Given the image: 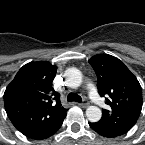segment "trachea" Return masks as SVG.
<instances>
[{
  "label": "trachea",
  "instance_id": "trachea-1",
  "mask_svg": "<svg viewBox=\"0 0 145 145\" xmlns=\"http://www.w3.org/2000/svg\"><path fill=\"white\" fill-rule=\"evenodd\" d=\"M67 101L68 102H72V101L82 102V98L78 94L69 93L68 96H67Z\"/></svg>",
  "mask_w": 145,
  "mask_h": 145
}]
</instances>
